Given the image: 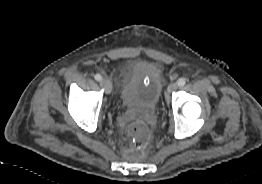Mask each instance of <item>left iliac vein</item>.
Wrapping results in <instances>:
<instances>
[{
	"label": "left iliac vein",
	"mask_w": 262,
	"mask_h": 184,
	"mask_svg": "<svg viewBox=\"0 0 262 184\" xmlns=\"http://www.w3.org/2000/svg\"><path fill=\"white\" fill-rule=\"evenodd\" d=\"M178 85L176 83H171L169 84L167 91L169 94H171L172 92H174L177 89Z\"/></svg>",
	"instance_id": "obj_1"
}]
</instances>
